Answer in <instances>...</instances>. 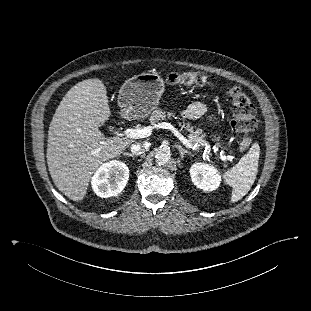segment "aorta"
I'll list each match as a JSON object with an SVG mask.
<instances>
[{
	"instance_id": "obj_1",
	"label": "aorta",
	"mask_w": 311,
	"mask_h": 311,
	"mask_svg": "<svg viewBox=\"0 0 311 311\" xmlns=\"http://www.w3.org/2000/svg\"><path fill=\"white\" fill-rule=\"evenodd\" d=\"M155 159L158 165H166L170 162L171 153L166 148H160L155 155Z\"/></svg>"
}]
</instances>
